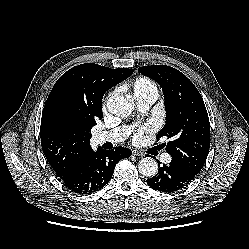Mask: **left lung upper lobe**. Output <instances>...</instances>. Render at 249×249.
Returning <instances> with one entry per match:
<instances>
[{
	"label": "left lung upper lobe",
	"mask_w": 249,
	"mask_h": 249,
	"mask_svg": "<svg viewBox=\"0 0 249 249\" xmlns=\"http://www.w3.org/2000/svg\"><path fill=\"white\" fill-rule=\"evenodd\" d=\"M142 74L161 86L167 109L166 125L157 140L173 138L166 151L184 169L197 174L203 168L210 147V123L201 94L194 84L177 69L165 65L138 68Z\"/></svg>",
	"instance_id": "obj_1"
}]
</instances>
